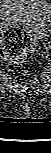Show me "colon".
Wrapping results in <instances>:
<instances>
[{"instance_id":"obj_1","label":"colon","mask_w":51,"mask_h":153,"mask_svg":"<svg viewBox=\"0 0 51 153\" xmlns=\"http://www.w3.org/2000/svg\"><path fill=\"white\" fill-rule=\"evenodd\" d=\"M34 34L24 26L15 22L4 25L2 31L1 54L6 61L23 63L28 60L35 50Z\"/></svg>"}]
</instances>
